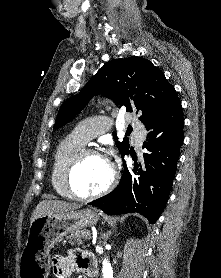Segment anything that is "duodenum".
Here are the masks:
<instances>
[{"label": "duodenum", "instance_id": "1", "mask_svg": "<svg viewBox=\"0 0 221 278\" xmlns=\"http://www.w3.org/2000/svg\"><path fill=\"white\" fill-rule=\"evenodd\" d=\"M85 273L88 275V276H91V277H95L96 276V273H97V269H96V263L95 265L91 266L90 268H88Z\"/></svg>", "mask_w": 221, "mask_h": 278}]
</instances>
